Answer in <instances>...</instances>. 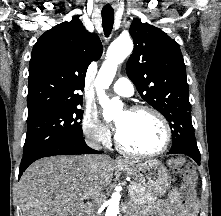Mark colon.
I'll return each mask as SVG.
<instances>
[{"mask_svg": "<svg viewBox=\"0 0 221 216\" xmlns=\"http://www.w3.org/2000/svg\"><path fill=\"white\" fill-rule=\"evenodd\" d=\"M185 159L177 157L170 161L171 168L176 172H181L184 176L191 177L192 171L185 169ZM181 192L184 196L185 205H193L195 203L194 184L191 180H186L181 186Z\"/></svg>", "mask_w": 221, "mask_h": 216, "instance_id": "1", "label": "colon"}]
</instances>
